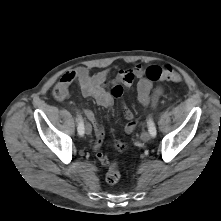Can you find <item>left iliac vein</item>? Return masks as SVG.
<instances>
[{"instance_id":"left-iliac-vein-1","label":"left iliac vein","mask_w":221,"mask_h":221,"mask_svg":"<svg viewBox=\"0 0 221 221\" xmlns=\"http://www.w3.org/2000/svg\"><path fill=\"white\" fill-rule=\"evenodd\" d=\"M151 134L149 132H143L141 134V140L144 141V142H147L151 139Z\"/></svg>"}]
</instances>
